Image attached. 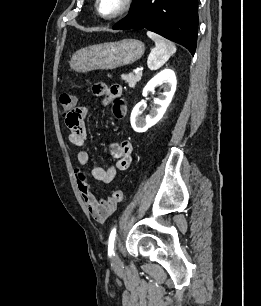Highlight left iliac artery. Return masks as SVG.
<instances>
[{"instance_id": "44dca946", "label": "left iliac artery", "mask_w": 261, "mask_h": 306, "mask_svg": "<svg viewBox=\"0 0 261 306\" xmlns=\"http://www.w3.org/2000/svg\"><path fill=\"white\" fill-rule=\"evenodd\" d=\"M116 238V228H113L108 241V255L112 256L114 254V243Z\"/></svg>"}]
</instances>
